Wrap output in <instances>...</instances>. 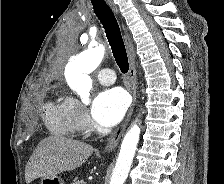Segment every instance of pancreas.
Instances as JSON below:
<instances>
[{
  "label": "pancreas",
  "mask_w": 224,
  "mask_h": 184,
  "mask_svg": "<svg viewBox=\"0 0 224 184\" xmlns=\"http://www.w3.org/2000/svg\"><path fill=\"white\" fill-rule=\"evenodd\" d=\"M71 184H84V183L82 181L74 179V181Z\"/></svg>",
  "instance_id": "obj_1"
}]
</instances>
